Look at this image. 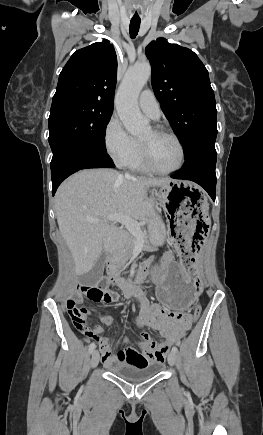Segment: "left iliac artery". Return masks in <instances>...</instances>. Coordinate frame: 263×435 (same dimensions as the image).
<instances>
[{
  "instance_id": "44dca946",
  "label": "left iliac artery",
  "mask_w": 263,
  "mask_h": 435,
  "mask_svg": "<svg viewBox=\"0 0 263 435\" xmlns=\"http://www.w3.org/2000/svg\"><path fill=\"white\" fill-rule=\"evenodd\" d=\"M172 351L175 352V353H177V352H178L177 347H176V346H173V347H172Z\"/></svg>"
}]
</instances>
